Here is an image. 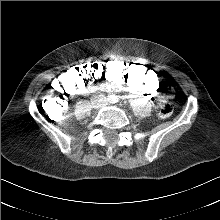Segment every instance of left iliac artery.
I'll list each match as a JSON object with an SVG mask.
<instances>
[{
    "label": "left iliac artery",
    "instance_id": "left-iliac-artery-1",
    "mask_svg": "<svg viewBox=\"0 0 220 220\" xmlns=\"http://www.w3.org/2000/svg\"><path fill=\"white\" fill-rule=\"evenodd\" d=\"M113 103H116V102H118L119 101V97L118 96H116V95H114L113 97H112V100H111Z\"/></svg>",
    "mask_w": 220,
    "mask_h": 220
}]
</instances>
